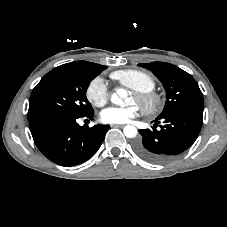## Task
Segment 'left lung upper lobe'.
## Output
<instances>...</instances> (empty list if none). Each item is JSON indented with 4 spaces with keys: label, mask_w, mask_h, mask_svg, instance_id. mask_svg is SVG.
<instances>
[{
    "label": "left lung upper lobe",
    "mask_w": 227,
    "mask_h": 227,
    "mask_svg": "<svg viewBox=\"0 0 227 227\" xmlns=\"http://www.w3.org/2000/svg\"><path fill=\"white\" fill-rule=\"evenodd\" d=\"M138 65L152 71L166 90L167 100L163 111L157 118L185 111L203 113V95L197 82L190 74L165 62Z\"/></svg>",
    "instance_id": "1"
}]
</instances>
